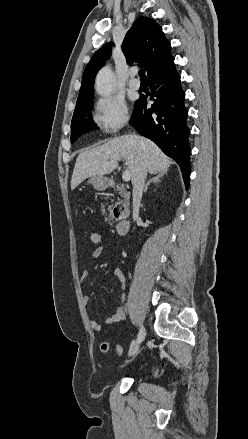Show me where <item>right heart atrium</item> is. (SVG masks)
<instances>
[{
	"label": "right heart atrium",
	"mask_w": 248,
	"mask_h": 439,
	"mask_svg": "<svg viewBox=\"0 0 248 439\" xmlns=\"http://www.w3.org/2000/svg\"><path fill=\"white\" fill-rule=\"evenodd\" d=\"M129 117L124 100L116 96L100 98L94 106V122L104 133L118 131L126 125Z\"/></svg>",
	"instance_id": "obj_1"
}]
</instances>
